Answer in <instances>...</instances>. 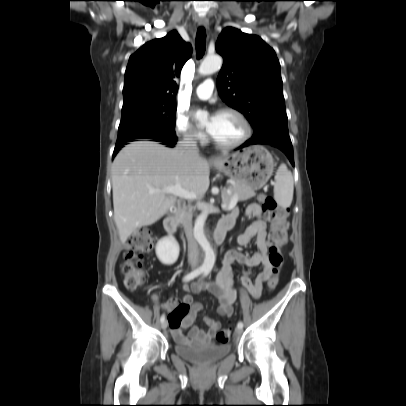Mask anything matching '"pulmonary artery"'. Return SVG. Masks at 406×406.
Instances as JSON below:
<instances>
[{"label":"pulmonary artery","mask_w":406,"mask_h":406,"mask_svg":"<svg viewBox=\"0 0 406 406\" xmlns=\"http://www.w3.org/2000/svg\"><path fill=\"white\" fill-rule=\"evenodd\" d=\"M214 90V82L211 79H206L195 89V95L199 99L206 100L211 97Z\"/></svg>","instance_id":"obj_1"}]
</instances>
